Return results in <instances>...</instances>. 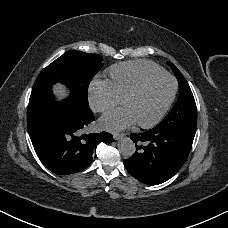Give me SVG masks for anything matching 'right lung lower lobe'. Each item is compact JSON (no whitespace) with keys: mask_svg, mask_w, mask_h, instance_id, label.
I'll return each instance as SVG.
<instances>
[{"mask_svg":"<svg viewBox=\"0 0 228 228\" xmlns=\"http://www.w3.org/2000/svg\"><path fill=\"white\" fill-rule=\"evenodd\" d=\"M92 111L77 112L65 101L28 106L27 126L35 152L46 168L58 175L84 170L100 142L111 143L108 132L89 133Z\"/></svg>","mask_w":228,"mask_h":228,"instance_id":"98d812e1","label":"right lung lower lobe"}]
</instances>
